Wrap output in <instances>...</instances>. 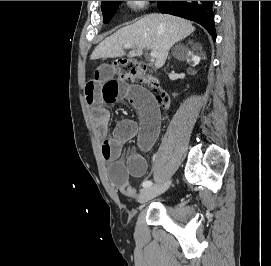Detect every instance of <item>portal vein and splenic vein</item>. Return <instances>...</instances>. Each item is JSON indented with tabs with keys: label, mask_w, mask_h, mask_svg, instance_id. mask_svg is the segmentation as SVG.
I'll use <instances>...</instances> for the list:
<instances>
[{
	"label": "portal vein and splenic vein",
	"mask_w": 271,
	"mask_h": 266,
	"mask_svg": "<svg viewBox=\"0 0 271 266\" xmlns=\"http://www.w3.org/2000/svg\"><path fill=\"white\" fill-rule=\"evenodd\" d=\"M131 47H132V45H130V44L124 45V48H131ZM150 55H151L152 58H156L157 57V52L156 51H152L150 53Z\"/></svg>",
	"instance_id": "1"
}]
</instances>
